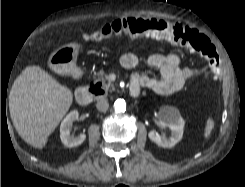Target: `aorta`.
Wrapping results in <instances>:
<instances>
[{
    "instance_id": "762f6f07",
    "label": "aorta",
    "mask_w": 245,
    "mask_h": 187,
    "mask_svg": "<svg viewBox=\"0 0 245 187\" xmlns=\"http://www.w3.org/2000/svg\"><path fill=\"white\" fill-rule=\"evenodd\" d=\"M115 111L120 113V112H125L126 110V102L124 99H117L114 104Z\"/></svg>"
}]
</instances>
